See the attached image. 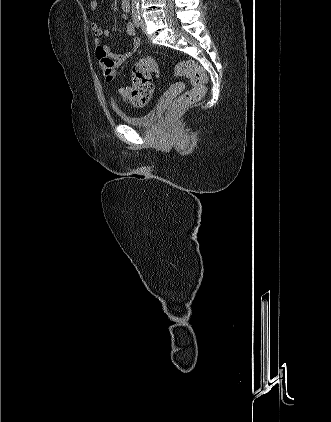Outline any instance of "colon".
Returning a JSON list of instances; mask_svg holds the SVG:
<instances>
[{
  "label": "colon",
  "mask_w": 331,
  "mask_h": 422,
  "mask_svg": "<svg viewBox=\"0 0 331 422\" xmlns=\"http://www.w3.org/2000/svg\"><path fill=\"white\" fill-rule=\"evenodd\" d=\"M156 70V62L151 57L142 58L133 65V85L130 89L122 92L131 104L143 106L149 101L154 88L152 77ZM176 73L188 77L191 80L192 88L173 101L169 108L170 115H176L189 104L200 100L206 91L207 77L205 71L195 61L178 62Z\"/></svg>",
  "instance_id": "1"
}]
</instances>
